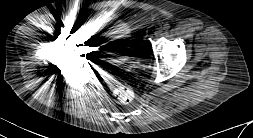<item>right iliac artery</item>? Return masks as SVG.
<instances>
[{
    "mask_svg": "<svg viewBox=\"0 0 253 138\" xmlns=\"http://www.w3.org/2000/svg\"><path fill=\"white\" fill-rule=\"evenodd\" d=\"M74 27H75V24H74L73 22H70V23L68 24V28H69L70 30H73Z\"/></svg>",
    "mask_w": 253,
    "mask_h": 138,
    "instance_id": "obj_1",
    "label": "right iliac artery"
}]
</instances>
